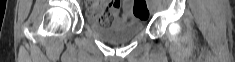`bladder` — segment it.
Wrapping results in <instances>:
<instances>
[{
  "label": "bladder",
  "instance_id": "bladder-1",
  "mask_svg": "<svg viewBox=\"0 0 235 62\" xmlns=\"http://www.w3.org/2000/svg\"><path fill=\"white\" fill-rule=\"evenodd\" d=\"M89 26L96 37L111 44L128 42L143 31V22L140 18H118L108 26L100 23H90Z\"/></svg>",
  "mask_w": 235,
  "mask_h": 62
}]
</instances>
